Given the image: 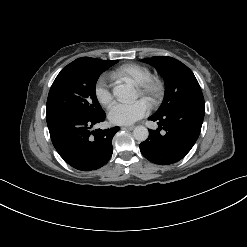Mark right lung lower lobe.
<instances>
[{
	"mask_svg": "<svg viewBox=\"0 0 247 247\" xmlns=\"http://www.w3.org/2000/svg\"><path fill=\"white\" fill-rule=\"evenodd\" d=\"M103 111L95 117L68 115L47 123L52 143L59 155L73 168L96 170L112 156V138L119 127L90 131L105 119Z\"/></svg>",
	"mask_w": 247,
	"mask_h": 247,
	"instance_id": "98d812e1",
	"label": "right lung lower lobe"
}]
</instances>
